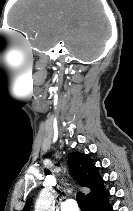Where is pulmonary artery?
<instances>
[{
    "mask_svg": "<svg viewBox=\"0 0 133 211\" xmlns=\"http://www.w3.org/2000/svg\"><path fill=\"white\" fill-rule=\"evenodd\" d=\"M61 211H79L74 199H66L61 205Z\"/></svg>",
    "mask_w": 133,
    "mask_h": 211,
    "instance_id": "obj_1",
    "label": "pulmonary artery"
}]
</instances>
